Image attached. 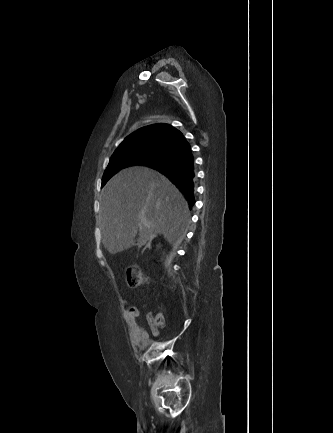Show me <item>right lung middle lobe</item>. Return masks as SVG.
<instances>
[{
	"label": "right lung middle lobe",
	"mask_w": 333,
	"mask_h": 433,
	"mask_svg": "<svg viewBox=\"0 0 333 433\" xmlns=\"http://www.w3.org/2000/svg\"><path fill=\"white\" fill-rule=\"evenodd\" d=\"M171 150L161 146L142 144L118 147L112 155L102 178V186L119 170L132 165H146L165 158Z\"/></svg>",
	"instance_id": "dd1d6c3e"
}]
</instances>
